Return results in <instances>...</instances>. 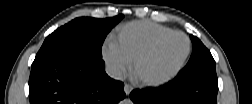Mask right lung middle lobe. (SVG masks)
Returning <instances> with one entry per match:
<instances>
[{
  "instance_id": "1",
  "label": "right lung middle lobe",
  "mask_w": 252,
  "mask_h": 104,
  "mask_svg": "<svg viewBox=\"0 0 252 104\" xmlns=\"http://www.w3.org/2000/svg\"><path fill=\"white\" fill-rule=\"evenodd\" d=\"M123 18L79 17L58 28L44 41L35 59L67 51H80L102 59V45L110 30Z\"/></svg>"
}]
</instances>
